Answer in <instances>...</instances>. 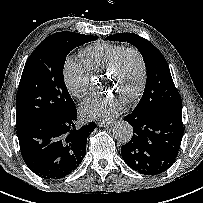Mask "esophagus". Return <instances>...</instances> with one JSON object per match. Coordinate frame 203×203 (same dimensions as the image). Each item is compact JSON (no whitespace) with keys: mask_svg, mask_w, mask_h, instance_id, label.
<instances>
[{"mask_svg":"<svg viewBox=\"0 0 203 203\" xmlns=\"http://www.w3.org/2000/svg\"><path fill=\"white\" fill-rule=\"evenodd\" d=\"M113 124V122H98L97 123V125L99 126V127H108V126H110V125H112Z\"/></svg>","mask_w":203,"mask_h":203,"instance_id":"esophagus-1","label":"esophagus"}]
</instances>
